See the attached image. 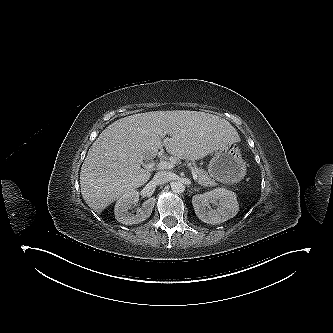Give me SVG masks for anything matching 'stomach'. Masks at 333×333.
Wrapping results in <instances>:
<instances>
[{
	"label": "stomach",
	"mask_w": 333,
	"mask_h": 333,
	"mask_svg": "<svg viewBox=\"0 0 333 333\" xmlns=\"http://www.w3.org/2000/svg\"><path fill=\"white\" fill-rule=\"evenodd\" d=\"M209 176L227 184H235L246 175V165L235 143L216 151L208 165Z\"/></svg>",
	"instance_id": "1"
}]
</instances>
